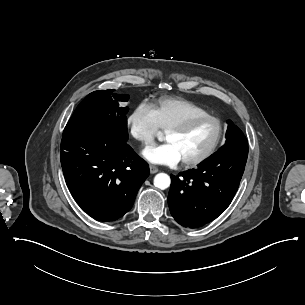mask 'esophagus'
I'll use <instances>...</instances> for the list:
<instances>
[{
    "label": "esophagus",
    "instance_id": "esophagus-1",
    "mask_svg": "<svg viewBox=\"0 0 305 305\" xmlns=\"http://www.w3.org/2000/svg\"><path fill=\"white\" fill-rule=\"evenodd\" d=\"M150 173L155 174L158 172V168L154 165H149Z\"/></svg>",
    "mask_w": 305,
    "mask_h": 305
}]
</instances>
